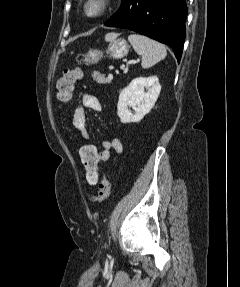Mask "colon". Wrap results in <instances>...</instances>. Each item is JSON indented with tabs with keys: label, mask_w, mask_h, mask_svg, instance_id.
<instances>
[{
	"label": "colon",
	"mask_w": 240,
	"mask_h": 287,
	"mask_svg": "<svg viewBox=\"0 0 240 287\" xmlns=\"http://www.w3.org/2000/svg\"><path fill=\"white\" fill-rule=\"evenodd\" d=\"M83 72L80 68L68 69L57 82V97L62 103H68L72 97L74 84L80 80ZM80 157L89 184L97 185V194L91 197L94 203H103L111 193V185L99 166L98 150L95 146L84 144L80 148Z\"/></svg>",
	"instance_id": "5ec220e1"
}]
</instances>
